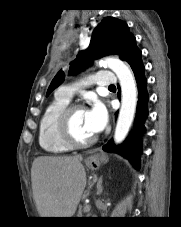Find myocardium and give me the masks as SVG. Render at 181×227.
<instances>
[{"instance_id":"1","label":"myocardium","mask_w":181,"mask_h":227,"mask_svg":"<svg viewBox=\"0 0 181 227\" xmlns=\"http://www.w3.org/2000/svg\"><path fill=\"white\" fill-rule=\"evenodd\" d=\"M83 104L72 103L68 104L60 113L57 120V130L60 138L71 147L85 148L94 144L97 136H92L88 139H79L75 136L72 130V117L77 110H85Z\"/></svg>"}]
</instances>
